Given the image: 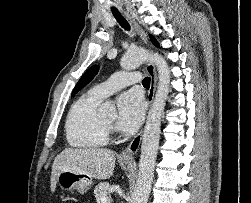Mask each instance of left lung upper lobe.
I'll use <instances>...</instances> for the list:
<instances>
[{"label": "left lung upper lobe", "instance_id": "obj_1", "mask_svg": "<svg viewBox=\"0 0 251 203\" xmlns=\"http://www.w3.org/2000/svg\"><path fill=\"white\" fill-rule=\"evenodd\" d=\"M151 41L155 46H158L157 41L154 39L153 36H151ZM98 72V66L94 65L91 68H89L80 78L78 83L76 84L72 95L76 94L80 89H82L86 84H88L95 76V74Z\"/></svg>", "mask_w": 251, "mask_h": 203}]
</instances>
